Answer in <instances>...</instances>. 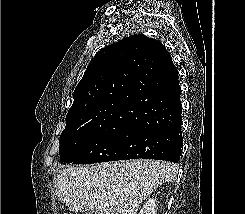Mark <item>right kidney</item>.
<instances>
[{"label":"right kidney","instance_id":"ca27d5eb","mask_svg":"<svg viewBox=\"0 0 245 214\" xmlns=\"http://www.w3.org/2000/svg\"><path fill=\"white\" fill-rule=\"evenodd\" d=\"M139 214H156V199L151 198L146 201Z\"/></svg>","mask_w":245,"mask_h":214}]
</instances>
